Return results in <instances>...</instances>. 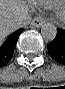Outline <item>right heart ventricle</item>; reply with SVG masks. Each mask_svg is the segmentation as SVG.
<instances>
[{
	"label": "right heart ventricle",
	"mask_w": 65,
	"mask_h": 89,
	"mask_svg": "<svg viewBox=\"0 0 65 89\" xmlns=\"http://www.w3.org/2000/svg\"><path fill=\"white\" fill-rule=\"evenodd\" d=\"M32 5L36 8H57L61 6L60 0H32Z\"/></svg>",
	"instance_id": "e07e8e85"
}]
</instances>
